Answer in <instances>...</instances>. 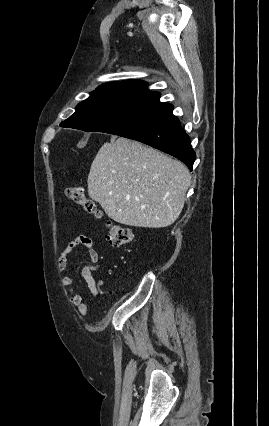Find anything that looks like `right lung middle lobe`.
<instances>
[{"mask_svg":"<svg viewBox=\"0 0 269 426\" xmlns=\"http://www.w3.org/2000/svg\"><path fill=\"white\" fill-rule=\"evenodd\" d=\"M157 92L93 93L61 124L84 131L124 132L141 122L159 103Z\"/></svg>","mask_w":269,"mask_h":426,"instance_id":"obj_1","label":"right lung middle lobe"}]
</instances>
